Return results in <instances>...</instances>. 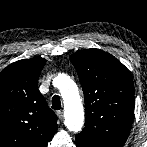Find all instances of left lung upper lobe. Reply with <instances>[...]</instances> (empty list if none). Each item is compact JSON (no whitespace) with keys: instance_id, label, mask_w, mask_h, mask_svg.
<instances>
[{"instance_id":"5c2ea615","label":"left lung upper lobe","mask_w":147,"mask_h":147,"mask_svg":"<svg viewBox=\"0 0 147 147\" xmlns=\"http://www.w3.org/2000/svg\"><path fill=\"white\" fill-rule=\"evenodd\" d=\"M85 99L83 131L76 147H122L134 118V84L129 70L111 54L86 49L70 56Z\"/></svg>"}]
</instances>
